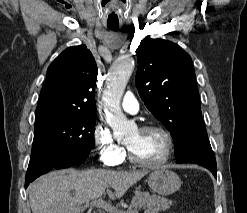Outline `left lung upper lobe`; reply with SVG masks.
<instances>
[{
  "label": "left lung upper lobe",
  "mask_w": 247,
  "mask_h": 213,
  "mask_svg": "<svg viewBox=\"0 0 247 213\" xmlns=\"http://www.w3.org/2000/svg\"><path fill=\"white\" fill-rule=\"evenodd\" d=\"M138 93L170 131L175 155L196 136H207L192 59L177 44L146 37L138 47Z\"/></svg>",
  "instance_id": "left-lung-upper-lobe-1"
}]
</instances>
